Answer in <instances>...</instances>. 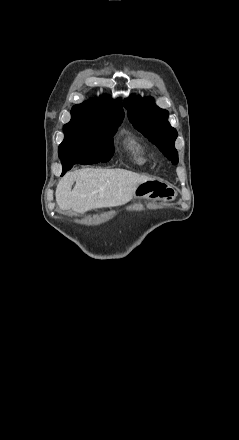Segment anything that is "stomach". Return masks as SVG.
Listing matches in <instances>:
<instances>
[{"label": "stomach", "mask_w": 239, "mask_h": 440, "mask_svg": "<svg viewBox=\"0 0 239 440\" xmlns=\"http://www.w3.org/2000/svg\"><path fill=\"white\" fill-rule=\"evenodd\" d=\"M150 182H147V184H141L140 188L136 190L135 198H153V190H149Z\"/></svg>", "instance_id": "stomach-1"}]
</instances>
